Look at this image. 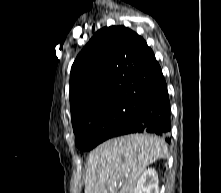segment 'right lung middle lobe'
I'll return each instance as SVG.
<instances>
[{
	"instance_id": "1",
	"label": "right lung middle lobe",
	"mask_w": 221,
	"mask_h": 193,
	"mask_svg": "<svg viewBox=\"0 0 221 193\" xmlns=\"http://www.w3.org/2000/svg\"><path fill=\"white\" fill-rule=\"evenodd\" d=\"M142 108L143 99L134 98L122 99L106 105L73 128L78 134L77 147L88 151L112 138L120 128L131 123Z\"/></svg>"
}]
</instances>
